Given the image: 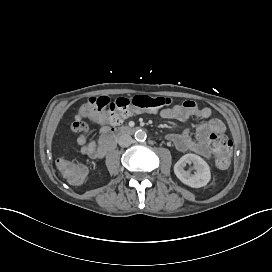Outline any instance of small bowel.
I'll use <instances>...</instances> for the list:
<instances>
[{
    "mask_svg": "<svg viewBox=\"0 0 272 272\" xmlns=\"http://www.w3.org/2000/svg\"><path fill=\"white\" fill-rule=\"evenodd\" d=\"M160 116L165 119L185 121L190 118L205 120L194 127L195 138L191 136V130L187 129L182 133L168 135L169 141L180 152H194L205 158H210L213 154V146L208 141V136L213 131H218L222 134L225 131L223 122L218 118H211L212 111L208 107H200L193 100H185L180 104L173 105L162 109ZM98 123H104L100 117L92 118ZM79 151L82 155L98 160L101 156L98 155V148L95 142H88V137L76 139Z\"/></svg>",
    "mask_w": 272,
    "mask_h": 272,
    "instance_id": "small-bowel-1",
    "label": "small bowel"
}]
</instances>
